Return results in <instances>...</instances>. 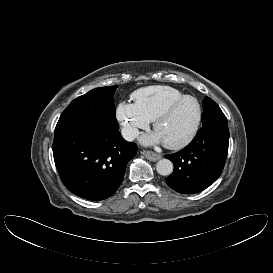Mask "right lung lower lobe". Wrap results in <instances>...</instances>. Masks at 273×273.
<instances>
[{
    "mask_svg": "<svg viewBox=\"0 0 273 273\" xmlns=\"http://www.w3.org/2000/svg\"><path fill=\"white\" fill-rule=\"evenodd\" d=\"M135 143L118 130L90 125L55 132L53 156L63 184L89 200L110 197L120 186L127 163L136 155Z\"/></svg>",
    "mask_w": 273,
    "mask_h": 273,
    "instance_id": "1",
    "label": "right lung lower lobe"
}]
</instances>
